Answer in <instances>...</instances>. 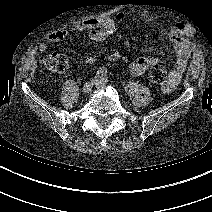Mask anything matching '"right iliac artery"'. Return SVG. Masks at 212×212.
<instances>
[{
  "mask_svg": "<svg viewBox=\"0 0 212 212\" xmlns=\"http://www.w3.org/2000/svg\"><path fill=\"white\" fill-rule=\"evenodd\" d=\"M97 74L101 77L105 76L107 74V69L105 67H101L98 69Z\"/></svg>",
  "mask_w": 212,
  "mask_h": 212,
  "instance_id": "82829eb1",
  "label": "right iliac artery"
}]
</instances>
